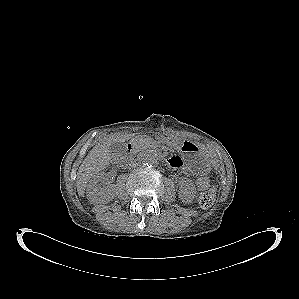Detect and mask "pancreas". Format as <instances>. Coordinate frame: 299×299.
Returning <instances> with one entry per match:
<instances>
[{
	"mask_svg": "<svg viewBox=\"0 0 299 299\" xmlns=\"http://www.w3.org/2000/svg\"><path fill=\"white\" fill-rule=\"evenodd\" d=\"M148 143H149L148 138H144V137H137L134 141V145L139 148L146 147Z\"/></svg>",
	"mask_w": 299,
	"mask_h": 299,
	"instance_id": "obj_1",
	"label": "pancreas"
}]
</instances>
